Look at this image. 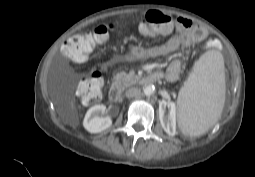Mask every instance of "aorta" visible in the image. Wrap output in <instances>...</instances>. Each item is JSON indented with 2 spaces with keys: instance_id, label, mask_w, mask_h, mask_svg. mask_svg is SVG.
Returning a JSON list of instances; mask_svg holds the SVG:
<instances>
[{
  "instance_id": "aorta-1",
  "label": "aorta",
  "mask_w": 255,
  "mask_h": 177,
  "mask_svg": "<svg viewBox=\"0 0 255 177\" xmlns=\"http://www.w3.org/2000/svg\"><path fill=\"white\" fill-rule=\"evenodd\" d=\"M143 92L146 96H151L155 93V86L153 84H149L144 86Z\"/></svg>"
}]
</instances>
